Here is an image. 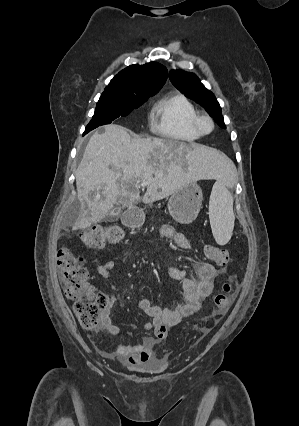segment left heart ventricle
Masks as SVG:
<instances>
[{"label": "left heart ventricle", "instance_id": "left-heart-ventricle-1", "mask_svg": "<svg viewBox=\"0 0 299 426\" xmlns=\"http://www.w3.org/2000/svg\"><path fill=\"white\" fill-rule=\"evenodd\" d=\"M209 127H210V126H209V124H208V123H204V128H205V129H209Z\"/></svg>", "mask_w": 299, "mask_h": 426}]
</instances>
